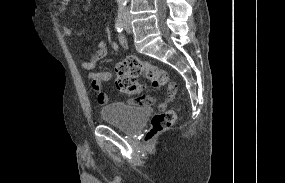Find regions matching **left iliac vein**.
Here are the masks:
<instances>
[{
	"label": "left iliac vein",
	"instance_id": "1",
	"mask_svg": "<svg viewBox=\"0 0 285 183\" xmlns=\"http://www.w3.org/2000/svg\"><path fill=\"white\" fill-rule=\"evenodd\" d=\"M124 28L126 32L131 33L132 32V27L130 24V20L128 16H124Z\"/></svg>",
	"mask_w": 285,
	"mask_h": 183
}]
</instances>
